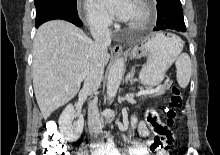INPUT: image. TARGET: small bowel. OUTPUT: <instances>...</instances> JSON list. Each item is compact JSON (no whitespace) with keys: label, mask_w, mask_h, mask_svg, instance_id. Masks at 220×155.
Wrapping results in <instances>:
<instances>
[{"label":"small bowel","mask_w":220,"mask_h":155,"mask_svg":"<svg viewBox=\"0 0 220 155\" xmlns=\"http://www.w3.org/2000/svg\"><path fill=\"white\" fill-rule=\"evenodd\" d=\"M156 124H163V123L159 120L156 112H154V111H151L148 113L145 121H141L139 123H137V121L135 119H133V121H132V125L133 126L137 125L138 132L142 137L149 136L150 129H152L155 133L154 127Z\"/></svg>","instance_id":"c3829d8e"}]
</instances>
